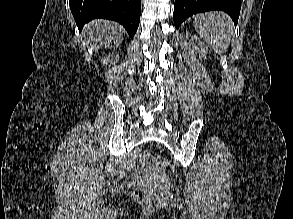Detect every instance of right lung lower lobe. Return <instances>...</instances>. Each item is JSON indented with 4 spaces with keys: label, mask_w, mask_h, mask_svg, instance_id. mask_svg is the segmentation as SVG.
I'll use <instances>...</instances> for the list:
<instances>
[{
    "label": "right lung lower lobe",
    "mask_w": 293,
    "mask_h": 219,
    "mask_svg": "<svg viewBox=\"0 0 293 219\" xmlns=\"http://www.w3.org/2000/svg\"><path fill=\"white\" fill-rule=\"evenodd\" d=\"M70 9L79 28L95 18L114 20L133 38L139 26L141 0H70Z\"/></svg>",
    "instance_id": "right-lung-lower-lobe-1"
}]
</instances>
